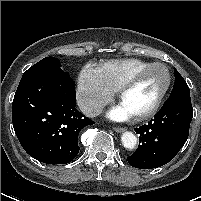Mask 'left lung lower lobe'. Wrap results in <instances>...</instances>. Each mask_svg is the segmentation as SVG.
<instances>
[{
    "label": "left lung lower lobe",
    "mask_w": 201,
    "mask_h": 201,
    "mask_svg": "<svg viewBox=\"0 0 201 201\" xmlns=\"http://www.w3.org/2000/svg\"><path fill=\"white\" fill-rule=\"evenodd\" d=\"M192 117L190 91L170 95L151 122L135 129L139 146L129 164L152 169L170 162L188 138Z\"/></svg>",
    "instance_id": "1"
}]
</instances>
